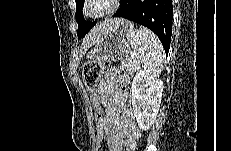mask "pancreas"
Wrapping results in <instances>:
<instances>
[{"label": "pancreas", "instance_id": "1", "mask_svg": "<svg viewBox=\"0 0 231 151\" xmlns=\"http://www.w3.org/2000/svg\"><path fill=\"white\" fill-rule=\"evenodd\" d=\"M137 68L138 65L134 60H127L122 63V70L127 72L128 75L133 76L134 73L137 71Z\"/></svg>", "mask_w": 231, "mask_h": 151}]
</instances>
